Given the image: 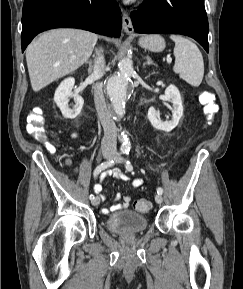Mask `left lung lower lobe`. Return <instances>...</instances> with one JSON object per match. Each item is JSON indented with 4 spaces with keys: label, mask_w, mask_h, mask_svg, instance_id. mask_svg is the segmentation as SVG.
<instances>
[{
    "label": "left lung lower lobe",
    "mask_w": 243,
    "mask_h": 289,
    "mask_svg": "<svg viewBox=\"0 0 243 289\" xmlns=\"http://www.w3.org/2000/svg\"><path fill=\"white\" fill-rule=\"evenodd\" d=\"M131 20L137 33L183 34L209 51L204 0H145Z\"/></svg>",
    "instance_id": "1"
}]
</instances>
